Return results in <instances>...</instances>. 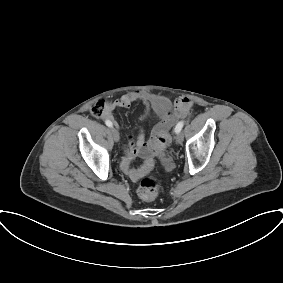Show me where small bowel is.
Wrapping results in <instances>:
<instances>
[{
	"mask_svg": "<svg viewBox=\"0 0 283 283\" xmlns=\"http://www.w3.org/2000/svg\"><path fill=\"white\" fill-rule=\"evenodd\" d=\"M141 101L147 106H152L160 118V123L154 128L153 133H158L163 127L173 122L175 118H181L188 114L191 108V101L187 98H179L175 102L174 112L170 111L168 101L152 97L149 94L134 91L123 95L122 97L107 103L104 118L113 121L116 125L113 112L117 108H129L133 103ZM147 116L145 112L142 116L144 119ZM150 142L149 144H153ZM148 143L146 142L143 132H139L136 138H128L126 142V156L120 163V168L124 174L133 180L140 179L146 173V167H132V161L137 155H145Z\"/></svg>",
	"mask_w": 283,
	"mask_h": 283,
	"instance_id": "obj_1",
	"label": "small bowel"
}]
</instances>
